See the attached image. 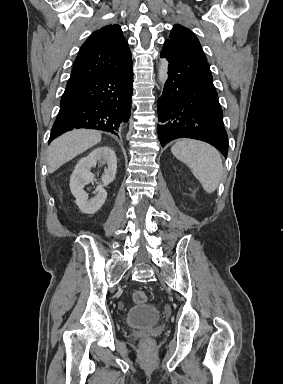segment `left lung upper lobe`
I'll list each match as a JSON object with an SVG mask.
<instances>
[{"mask_svg":"<svg viewBox=\"0 0 283 384\" xmlns=\"http://www.w3.org/2000/svg\"><path fill=\"white\" fill-rule=\"evenodd\" d=\"M165 43L206 60L197 37L193 32L181 25L177 24L173 27L170 38Z\"/></svg>","mask_w":283,"mask_h":384,"instance_id":"5c2ea615","label":"left lung upper lobe"}]
</instances>
